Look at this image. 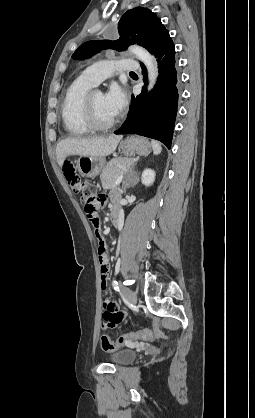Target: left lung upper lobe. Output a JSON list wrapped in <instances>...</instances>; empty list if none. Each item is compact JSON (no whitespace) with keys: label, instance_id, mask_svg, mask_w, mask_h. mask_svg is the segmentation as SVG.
<instances>
[{"label":"left lung upper lobe","instance_id":"1","mask_svg":"<svg viewBox=\"0 0 255 418\" xmlns=\"http://www.w3.org/2000/svg\"><path fill=\"white\" fill-rule=\"evenodd\" d=\"M119 39L115 41H89L82 44L72 55L74 59H86L100 49H116L122 51L130 44L137 43L152 54L159 52L170 39L161 20L151 10L137 7L127 11L118 23Z\"/></svg>","mask_w":255,"mask_h":418}]
</instances>
